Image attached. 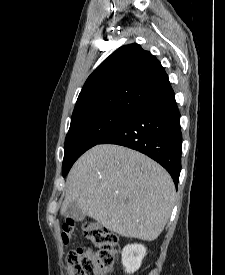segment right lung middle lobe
<instances>
[{
    "label": "right lung middle lobe",
    "mask_w": 225,
    "mask_h": 275,
    "mask_svg": "<svg viewBox=\"0 0 225 275\" xmlns=\"http://www.w3.org/2000/svg\"><path fill=\"white\" fill-rule=\"evenodd\" d=\"M128 114L121 111L102 112L72 121L65 139L63 175L85 151L98 144Z\"/></svg>",
    "instance_id": "dd1d6c3e"
}]
</instances>
